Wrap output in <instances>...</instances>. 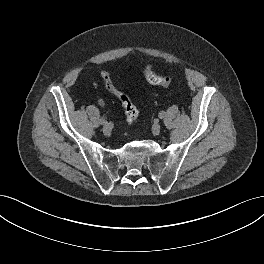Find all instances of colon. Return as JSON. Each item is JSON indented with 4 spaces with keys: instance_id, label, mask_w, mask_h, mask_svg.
<instances>
[{
    "instance_id": "1",
    "label": "colon",
    "mask_w": 264,
    "mask_h": 264,
    "mask_svg": "<svg viewBox=\"0 0 264 264\" xmlns=\"http://www.w3.org/2000/svg\"><path fill=\"white\" fill-rule=\"evenodd\" d=\"M144 76L146 80L153 85H158L162 87H169L172 84V80L169 77L166 76H160L158 75L152 68L151 65H146L143 69ZM101 78L103 80V83L106 87V89L114 94L119 101L121 102V105L123 107V110L126 115L127 122L129 124H132L136 121L138 117V109L133 104L129 96L120 90H118L111 78V75L107 71L101 72Z\"/></svg>"
}]
</instances>
